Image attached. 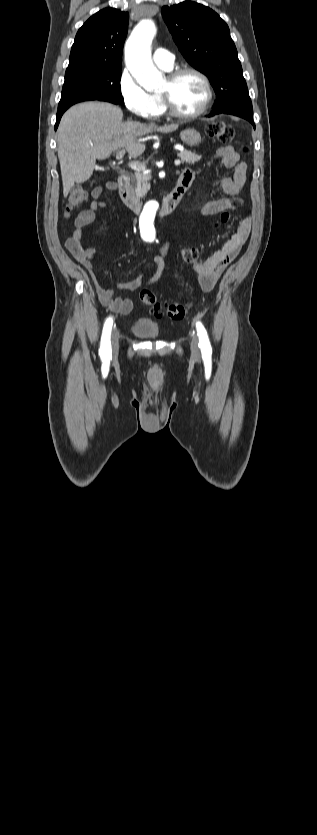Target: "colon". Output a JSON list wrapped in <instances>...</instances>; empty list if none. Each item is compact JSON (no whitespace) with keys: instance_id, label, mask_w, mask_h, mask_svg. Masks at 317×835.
I'll return each mask as SVG.
<instances>
[{"instance_id":"obj_1","label":"colon","mask_w":317,"mask_h":835,"mask_svg":"<svg viewBox=\"0 0 317 835\" xmlns=\"http://www.w3.org/2000/svg\"><path fill=\"white\" fill-rule=\"evenodd\" d=\"M207 133L218 140L220 143L227 144L232 141L234 137V129L231 125L215 122L207 127ZM245 153L247 149H242ZM86 199V191L81 186H75L71 189L68 196V204L66 207V214L70 216L71 212L82 204ZM229 212H223L220 217V222L225 223L229 220ZM182 256L187 261H192L198 258L199 250L196 247H186L182 250ZM139 298L145 305L151 306L156 316L165 315L173 320H182L188 311V307L184 304L176 303L164 305L160 303L154 293L149 289H143L139 293Z\"/></svg>"}]
</instances>
